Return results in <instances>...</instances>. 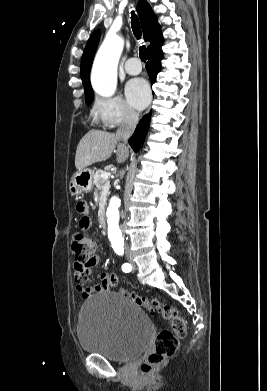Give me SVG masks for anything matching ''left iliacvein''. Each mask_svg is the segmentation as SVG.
Here are the masks:
<instances>
[{
	"mask_svg": "<svg viewBox=\"0 0 267 391\" xmlns=\"http://www.w3.org/2000/svg\"><path fill=\"white\" fill-rule=\"evenodd\" d=\"M130 263H131V265H132L133 271H135V270H136V265H135V263L133 262V260H132L131 257H130Z\"/></svg>",
	"mask_w": 267,
	"mask_h": 391,
	"instance_id": "left-iliac-vein-1",
	"label": "left iliac vein"
}]
</instances>
